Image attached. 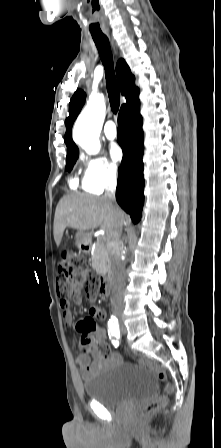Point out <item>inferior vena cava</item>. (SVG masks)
I'll return each mask as SVG.
<instances>
[{"label": "inferior vena cava", "instance_id": "1", "mask_svg": "<svg viewBox=\"0 0 221 448\" xmlns=\"http://www.w3.org/2000/svg\"><path fill=\"white\" fill-rule=\"evenodd\" d=\"M115 189H116V174L111 173L108 179V185L105 192V198L108 199L113 205H115ZM123 225H119L118 228L112 233L111 247L109 249L111 273L113 276V307L116 314L122 313V296L121 290L125 281V270L121 259L123 251V242L121 240Z\"/></svg>", "mask_w": 221, "mask_h": 448}]
</instances>
